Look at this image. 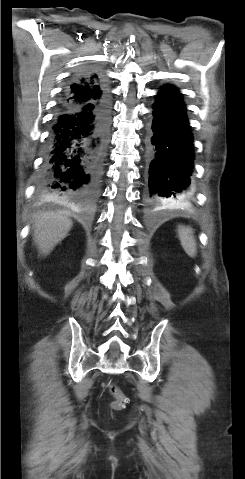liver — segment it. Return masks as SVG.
I'll return each mask as SVG.
<instances>
[{"label":"liver","instance_id":"6515ba94","mask_svg":"<svg viewBox=\"0 0 245 479\" xmlns=\"http://www.w3.org/2000/svg\"><path fill=\"white\" fill-rule=\"evenodd\" d=\"M73 226L72 220L60 213L39 214L33 225V239L41 255H48Z\"/></svg>","mask_w":245,"mask_h":479}]
</instances>
